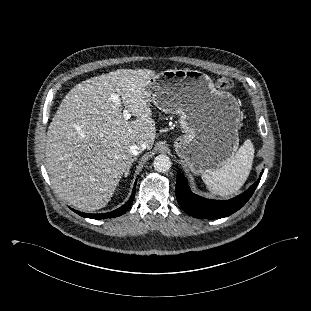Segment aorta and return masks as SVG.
I'll use <instances>...</instances> for the list:
<instances>
[{
	"instance_id": "obj_1",
	"label": "aorta",
	"mask_w": 311,
	"mask_h": 311,
	"mask_svg": "<svg viewBox=\"0 0 311 311\" xmlns=\"http://www.w3.org/2000/svg\"><path fill=\"white\" fill-rule=\"evenodd\" d=\"M171 160L167 155H158L155 157L153 166L157 172H167L171 168Z\"/></svg>"
}]
</instances>
